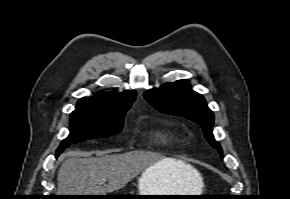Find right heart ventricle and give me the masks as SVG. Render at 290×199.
<instances>
[{"instance_id":"e07e8e85","label":"right heart ventricle","mask_w":290,"mask_h":199,"mask_svg":"<svg viewBox=\"0 0 290 199\" xmlns=\"http://www.w3.org/2000/svg\"><path fill=\"white\" fill-rule=\"evenodd\" d=\"M159 136L162 137V138H165V137H166V134H164V133H159Z\"/></svg>"}]
</instances>
